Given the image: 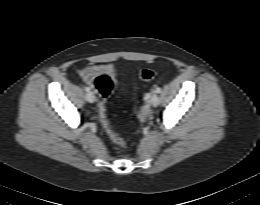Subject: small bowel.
<instances>
[{"label":"small bowel","instance_id":"c3829d8e","mask_svg":"<svg viewBox=\"0 0 260 205\" xmlns=\"http://www.w3.org/2000/svg\"><path fill=\"white\" fill-rule=\"evenodd\" d=\"M99 74H107L116 82V70L111 64L87 65L79 70V76L91 89L94 88V80Z\"/></svg>","mask_w":260,"mask_h":205}]
</instances>
